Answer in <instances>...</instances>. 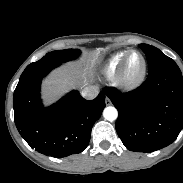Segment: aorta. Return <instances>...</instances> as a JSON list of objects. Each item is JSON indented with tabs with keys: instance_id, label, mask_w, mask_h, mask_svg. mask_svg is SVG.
Here are the masks:
<instances>
[{
	"instance_id": "aorta-1",
	"label": "aorta",
	"mask_w": 183,
	"mask_h": 183,
	"mask_svg": "<svg viewBox=\"0 0 183 183\" xmlns=\"http://www.w3.org/2000/svg\"><path fill=\"white\" fill-rule=\"evenodd\" d=\"M103 116L108 121H114L118 117L117 109L112 106L106 107L103 111Z\"/></svg>"
}]
</instances>
